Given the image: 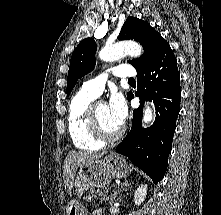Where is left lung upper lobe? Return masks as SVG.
<instances>
[{
    "label": "left lung upper lobe",
    "instance_id": "left-lung-upper-lobe-1",
    "mask_svg": "<svg viewBox=\"0 0 221 215\" xmlns=\"http://www.w3.org/2000/svg\"><path fill=\"white\" fill-rule=\"evenodd\" d=\"M118 39L135 40L143 46L144 54L140 58L128 61L137 71L144 69L167 44V41L149 23L135 17L126 19ZM96 50L95 40L86 38L73 51L67 77V95L70 94L79 78L93 70ZM131 94L132 92L127 93L128 98Z\"/></svg>",
    "mask_w": 221,
    "mask_h": 215
}]
</instances>
